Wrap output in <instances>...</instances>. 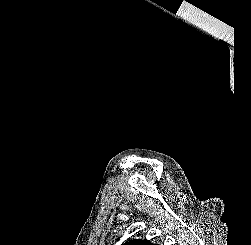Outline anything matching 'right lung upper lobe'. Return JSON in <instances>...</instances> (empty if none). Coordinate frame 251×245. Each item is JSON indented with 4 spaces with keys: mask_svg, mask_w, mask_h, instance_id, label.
<instances>
[{
    "mask_svg": "<svg viewBox=\"0 0 251 245\" xmlns=\"http://www.w3.org/2000/svg\"><path fill=\"white\" fill-rule=\"evenodd\" d=\"M122 245H157V244H153L149 240H146V239L145 240L138 239V240H131Z\"/></svg>",
    "mask_w": 251,
    "mask_h": 245,
    "instance_id": "obj_1",
    "label": "right lung upper lobe"
}]
</instances>
